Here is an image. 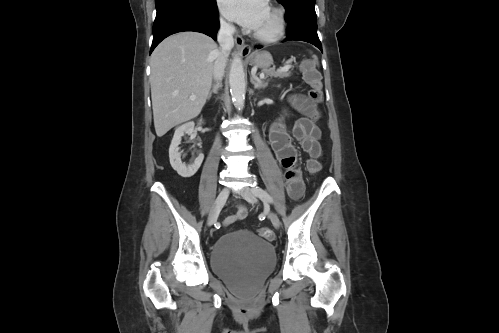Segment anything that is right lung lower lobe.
<instances>
[{"mask_svg":"<svg viewBox=\"0 0 499 333\" xmlns=\"http://www.w3.org/2000/svg\"><path fill=\"white\" fill-rule=\"evenodd\" d=\"M219 28L216 0L205 8L177 4L157 10L150 53L166 37L182 31L204 33L214 40Z\"/></svg>","mask_w":499,"mask_h":333,"instance_id":"obj_1","label":"right lung lower lobe"}]
</instances>
